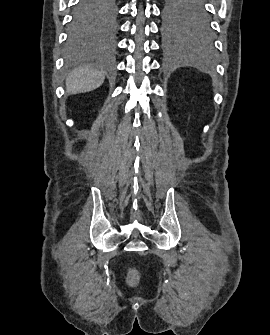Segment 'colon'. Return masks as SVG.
<instances>
[{
    "instance_id": "colon-1",
    "label": "colon",
    "mask_w": 270,
    "mask_h": 335,
    "mask_svg": "<svg viewBox=\"0 0 270 335\" xmlns=\"http://www.w3.org/2000/svg\"><path fill=\"white\" fill-rule=\"evenodd\" d=\"M138 279H139V275L134 271L131 272L127 277L128 283L132 287H135L138 285Z\"/></svg>"
}]
</instances>
